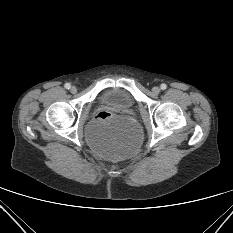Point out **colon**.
Listing matches in <instances>:
<instances>
[{
    "label": "colon",
    "instance_id": "obj_1",
    "mask_svg": "<svg viewBox=\"0 0 233 233\" xmlns=\"http://www.w3.org/2000/svg\"><path fill=\"white\" fill-rule=\"evenodd\" d=\"M110 116L111 115L109 112L103 111V112H100L97 117L100 120H106V119L110 118Z\"/></svg>",
    "mask_w": 233,
    "mask_h": 233
}]
</instances>
